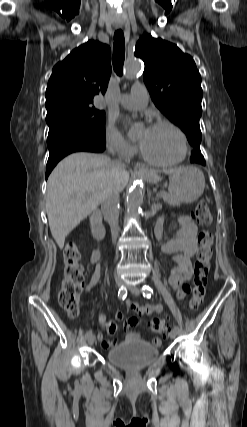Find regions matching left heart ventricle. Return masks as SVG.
<instances>
[{"label": "left heart ventricle", "instance_id": "obj_1", "mask_svg": "<svg viewBox=\"0 0 247 427\" xmlns=\"http://www.w3.org/2000/svg\"><path fill=\"white\" fill-rule=\"evenodd\" d=\"M137 139L145 153L156 160L176 159L181 151L178 135L168 127L142 129Z\"/></svg>", "mask_w": 247, "mask_h": 427}]
</instances>
